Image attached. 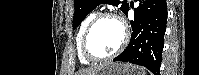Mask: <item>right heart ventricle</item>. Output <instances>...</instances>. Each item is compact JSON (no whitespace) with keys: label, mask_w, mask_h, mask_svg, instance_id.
<instances>
[{"label":"right heart ventricle","mask_w":199,"mask_h":75,"mask_svg":"<svg viewBox=\"0 0 199 75\" xmlns=\"http://www.w3.org/2000/svg\"><path fill=\"white\" fill-rule=\"evenodd\" d=\"M95 15H96L95 12H90L88 15H86V17L83 19V21L80 25V29H79V32H78L77 38H76V47H77L78 58H79L80 62L85 65L90 64L92 61H89L84 58V56L81 52V39H82L84 30L86 29L87 25L90 23V21L92 20V18Z\"/></svg>","instance_id":"right-heart-ventricle-1"}]
</instances>
